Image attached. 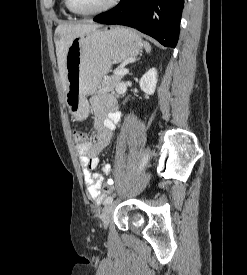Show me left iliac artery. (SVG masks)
<instances>
[{"label":"left iliac artery","instance_id":"left-iliac-artery-1","mask_svg":"<svg viewBox=\"0 0 247 275\" xmlns=\"http://www.w3.org/2000/svg\"><path fill=\"white\" fill-rule=\"evenodd\" d=\"M147 161H148V154L145 155L144 158H143V160H142V163H141V165L139 167L140 171L144 168V166L146 165ZM112 201H113V197L112 196H108L105 199L104 203L105 204H109V203H112Z\"/></svg>","mask_w":247,"mask_h":275}]
</instances>
